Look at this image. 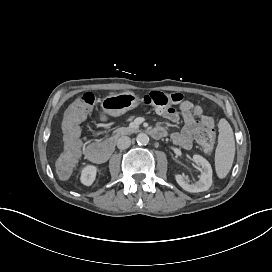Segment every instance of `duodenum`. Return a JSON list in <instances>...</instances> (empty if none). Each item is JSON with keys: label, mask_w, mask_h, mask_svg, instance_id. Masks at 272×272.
Listing matches in <instances>:
<instances>
[{"label": "duodenum", "mask_w": 272, "mask_h": 272, "mask_svg": "<svg viewBox=\"0 0 272 272\" xmlns=\"http://www.w3.org/2000/svg\"><path fill=\"white\" fill-rule=\"evenodd\" d=\"M148 133L156 139L164 136V131L160 128H153ZM114 150V141L108 139L104 142L90 144L86 149L87 158L94 163H103L108 160Z\"/></svg>", "instance_id": "duodenum-1"}]
</instances>
